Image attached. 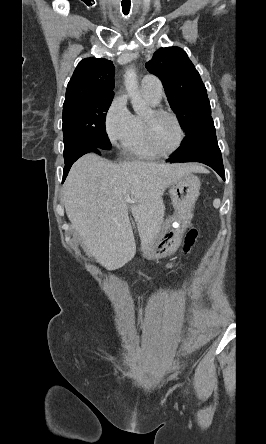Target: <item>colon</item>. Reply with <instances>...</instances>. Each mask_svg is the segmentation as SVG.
<instances>
[{
	"instance_id": "obj_1",
	"label": "colon",
	"mask_w": 266,
	"mask_h": 444,
	"mask_svg": "<svg viewBox=\"0 0 266 444\" xmlns=\"http://www.w3.org/2000/svg\"><path fill=\"white\" fill-rule=\"evenodd\" d=\"M188 287V280H186L183 285L180 288L179 291V297H181L187 290ZM136 307L138 311H142L143 310V305L139 302V300H136Z\"/></svg>"
}]
</instances>
